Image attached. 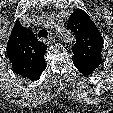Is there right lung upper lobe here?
<instances>
[{
    "label": "right lung upper lobe",
    "mask_w": 113,
    "mask_h": 113,
    "mask_svg": "<svg viewBox=\"0 0 113 113\" xmlns=\"http://www.w3.org/2000/svg\"><path fill=\"white\" fill-rule=\"evenodd\" d=\"M47 46L34 33L17 21L7 43V56L15 73L32 81L38 80L46 68L44 55Z\"/></svg>",
    "instance_id": "cb5924a9"
}]
</instances>
